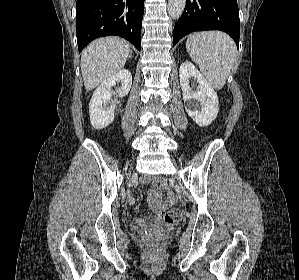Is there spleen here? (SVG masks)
Segmentation results:
<instances>
[{"label":"spleen","instance_id":"spleen-1","mask_svg":"<svg viewBox=\"0 0 299 280\" xmlns=\"http://www.w3.org/2000/svg\"><path fill=\"white\" fill-rule=\"evenodd\" d=\"M186 49L209 84L217 90L222 89L237 60L234 41L219 31L200 32L188 37Z\"/></svg>","mask_w":299,"mask_h":280}]
</instances>
